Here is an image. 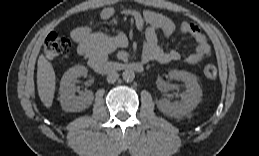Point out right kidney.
<instances>
[{"mask_svg":"<svg viewBox=\"0 0 259 156\" xmlns=\"http://www.w3.org/2000/svg\"><path fill=\"white\" fill-rule=\"evenodd\" d=\"M87 72L85 66L77 65L63 75L60 82V103L66 112L82 111L92 104L94 98L92 91L82 92L79 96L75 95L77 79L86 76Z\"/></svg>","mask_w":259,"mask_h":156,"instance_id":"obj_1","label":"right kidney"}]
</instances>
